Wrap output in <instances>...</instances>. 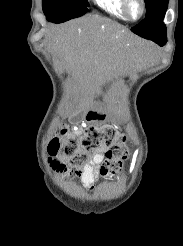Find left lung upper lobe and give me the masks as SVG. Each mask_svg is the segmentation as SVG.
Returning a JSON list of instances; mask_svg holds the SVG:
<instances>
[{
	"mask_svg": "<svg viewBox=\"0 0 183 246\" xmlns=\"http://www.w3.org/2000/svg\"><path fill=\"white\" fill-rule=\"evenodd\" d=\"M144 1L146 3V18L134 26L131 31L146 39L166 36V26L163 19L169 0Z\"/></svg>",
	"mask_w": 183,
	"mask_h": 246,
	"instance_id": "left-lung-upper-lobe-1",
	"label": "left lung upper lobe"
}]
</instances>
